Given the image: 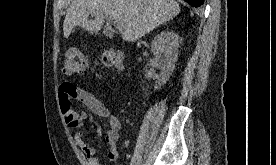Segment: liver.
Wrapping results in <instances>:
<instances>
[{
  "mask_svg": "<svg viewBox=\"0 0 276 165\" xmlns=\"http://www.w3.org/2000/svg\"><path fill=\"white\" fill-rule=\"evenodd\" d=\"M179 13L175 0H73L67 9L63 33L68 38L76 26L98 32L105 18H109L121 22L123 40L135 42ZM90 14L94 20H88Z\"/></svg>",
  "mask_w": 276,
  "mask_h": 165,
  "instance_id": "obj_1",
  "label": "liver"
}]
</instances>
